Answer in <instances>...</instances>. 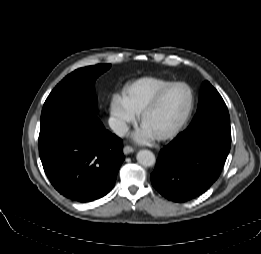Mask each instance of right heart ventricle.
Masks as SVG:
<instances>
[{
    "label": "right heart ventricle",
    "mask_w": 261,
    "mask_h": 254,
    "mask_svg": "<svg viewBox=\"0 0 261 254\" xmlns=\"http://www.w3.org/2000/svg\"><path fill=\"white\" fill-rule=\"evenodd\" d=\"M169 83L171 81L142 78L130 84L126 90V96L133 111L138 115Z\"/></svg>",
    "instance_id": "right-heart-ventricle-1"
}]
</instances>
